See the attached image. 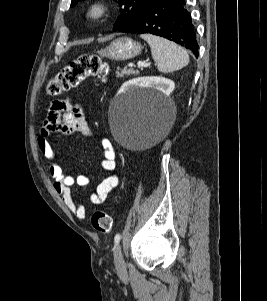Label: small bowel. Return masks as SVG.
I'll return each instance as SVG.
<instances>
[{
  "instance_id": "small-bowel-1",
  "label": "small bowel",
  "mask_w": 267,
  "mask_h": 301,
  "mask_svg": "<svg viewBox=\"0 0 267 301\" xmlns=\"http://www.w3.org/2000/svg\"><path fill=\"white\" fill-rule=\"evenodd\" d=\"M53 133H80L83 136L92 137L93 134L81 106L73 104L70 99L54 101L46 113L38 137V147L49 163V173L54 180L55 191L62 197L65 205L77 218L85 219L86 209L74 199L71 190L75 185H89L90 179L84 175L73 177L63 172L58 162L57 154L49 141V136ZM99 142L102 148V168L112 174L104 178L91 194L90 201L93 204L104 202L108 194L120 183L119 175L113 173L116 168V162L112 143L106 138H101Z\"/></svg>"
}]
</instances>
